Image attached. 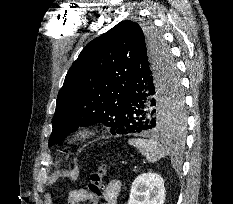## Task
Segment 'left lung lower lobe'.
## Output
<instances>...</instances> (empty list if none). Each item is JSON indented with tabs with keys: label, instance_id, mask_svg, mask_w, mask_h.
Segmentation results:
<instances>
[{
	"label": "left lung lower lobe",
	"instance_id": "obj_1",
	"mask_svg": "<svg viewBox=\"0 0 233 204\" xmlns=\"http://www.w3.org/2000/svg\"><path fill=\"white\" fill-rule=\"evenodd\" d=\"M164 54L152 55L140 49L134 59L130 81L118 112L117 124L122 135L160 131L157 111L169 87L172 90L179 82L177 70L168 74ZM182 126L168 130L180 132Z\"/></svg>",
	"mask_w": 233,
	"mask_h": 204
}]
</instances>
